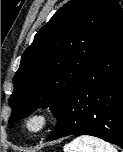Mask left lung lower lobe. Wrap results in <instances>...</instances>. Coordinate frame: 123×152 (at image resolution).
I'll return each instance as SVG.
<instances>
[{
    "label": "left lung lower lobe",
    "mask_w": 123,
    "mask_h": 152,
    "mask_svg": "<svg viewBox=\"0 0 123 152\" xmlns=\"http://www.w3.org/2000/svg\"><path fill=\"white\" fill-rule=\"evenodd\" d=\"M47 141L84 134L123 149V12L64 100Z\"/></svg>",
    "instance_id": "left-lung-lower-lobe-1"
}]
</instances>
